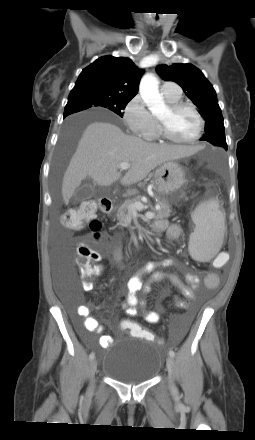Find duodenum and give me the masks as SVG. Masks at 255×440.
<instances>
[{
  "label": "duodenum",
  "mask_w": 255,
  "mask_h": 440,
  "mask_svg": "<svg viewBox=\"0 0 255 440\" xmlns=\"http://www.w3.org/2000/svg\"><path fill=\"white\" fill-rule=\"evenodd\" d=\"M100 209L102 212L109 214L113 211L114 209V203L113 201L109 200V199H102L100 201Z\"/></svg>",
  "instance_id": "1"
}]
</instances>
